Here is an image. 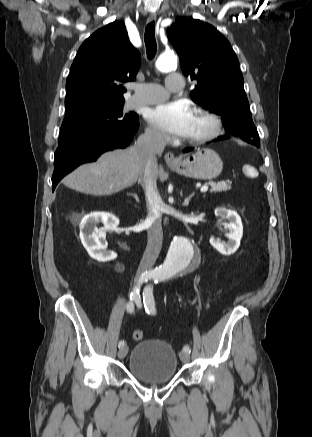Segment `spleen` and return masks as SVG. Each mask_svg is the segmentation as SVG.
I'll list each match as a JSON object with an SVG mask.
<instances>
[{"mask_svg":"<svg viewBox=\"0 0 312 437\" xmlns=\"http://www.w3.org/2000/svg\"><path fill=\"white\" fill-rule=\"evenodd\" d=\"M244 170L247 171V172H250V171H249L250 168H249L248 166H245V167H244ZM253 176H256V172H253Z\"/></svg>","mask_w":312,"mask_h":437,"instance_id":"spleen-1","label":"spleen"}]
</instances>
